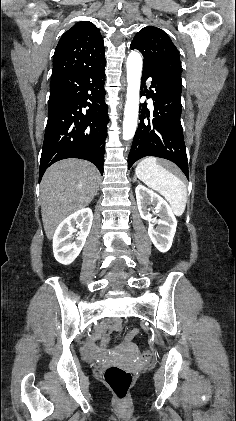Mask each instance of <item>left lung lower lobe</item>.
I'll use <instances>...</instances> for the list:
<instances>
[{
	"label": "left lung lower lobe",
	"mask_w": 236,
	"mask_h": 421,
	"mask_svg": "<svg viewBox=\"0 0 236 421\" xmlns=\"http://www.w3.org/2000/svg\"><path fill=\"white\" fill-rule=\"evenodd\" d=\"M152 78L147 98L153 100V112L149 119L146 103L142 106L140 122L128 157V169L145 156H156L174 162L189 179L187 155L180 121L181 80L165 73H157L143 66L142 88ZM147 117V119H146Z\"/></svg>",
	"instance_id": "left-lung-lower-lobe-1"
}]
</instances>
